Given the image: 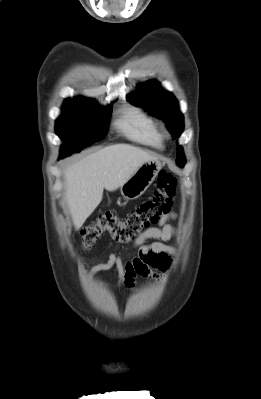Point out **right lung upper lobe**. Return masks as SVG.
I'll list each match as a JSON object with an SVG mask.
<instances>
[{
  "label": "right lung upper lobe",
  "instance_id": "obj_1",
  "mask_svg": "<svg viewBox=\"0 0 261 399\" xmlns=\"http://www.w3.org/2000/svg\"><path fill=\"white\" fill-rule=\"evenodd\" d=\"M90 99L84 98V97H76V98H70L67 99L65 102H81V101H89Z\"/></svg>",
  "mask_w": 261,
  "mask_h": 399
}]
</instances>
